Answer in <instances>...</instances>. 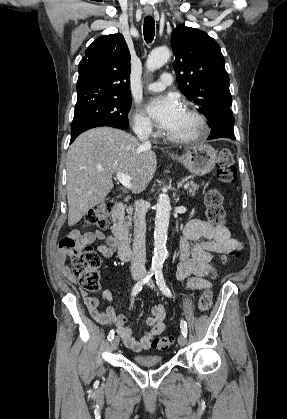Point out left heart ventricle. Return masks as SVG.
<instances>
[{"label":"left heart ventricle","instance_id":"obj_1","mask_svg":"<svg viewBox=\"0 0 287 419\" xmlns=\"http://www.w3.org/2000/svg\"><path fill=\"white\" fill-rule=\"evenodd\" d=\"M197 128V123L195 120L183 110L179 120L176 125L169 131L173 135H187L195 131Z\"/></svg>","mask_w":287,"mask_h":419}]
</instances>
